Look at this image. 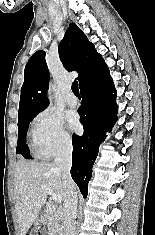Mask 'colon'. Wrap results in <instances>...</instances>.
Returning <instances> with one entry per match:
<instances>
[{"mask_svg":"<svg viewBox=\"0 0 155 235\" xmlns=\"http://www.w3.org/2000/svg\"><path fill=\"white\" fill-rule=\"evenodd\" d=\"M26 235H45V233L39 232V231H33V232H30V233H28Z\"/></svg>","mask_w":155,"mask_h":235,"instance_id":"1","label":"colon"}]
</instances>
